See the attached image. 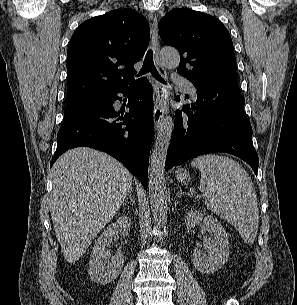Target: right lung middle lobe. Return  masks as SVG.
I'll return each mask as SVG.
<instances>
[{
	"instance_id": "dd1d6c3e",
	"label": "right lung middle lobe",
	"mask_w": 297,
	"mask_h": 305,
	"mask_svg": "<svg viewBox=\"0 0 297 305\" xmlns=\"http://www.w3.org/2000/svg\"><path fill=\"white\" fill-rule=\"evenodd\" d=\"M109 94L95 95L66 103L63 122L68 121L90 109L108 103Z\"/></svg>"
}]
</instances>
